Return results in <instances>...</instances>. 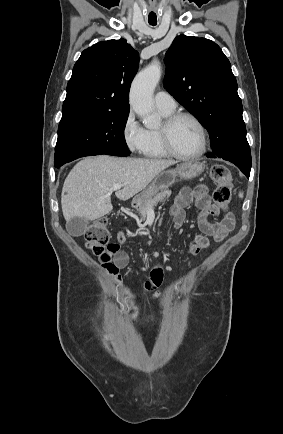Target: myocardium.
Returning <instances> with one entry per match:
<instances>
[{
    "instance_id": "obj_1",
    "label": "myocardium",
    "mask_w": 283,
    "mask_h": 434,
    "mask_svg": "<svg viewBox=\"0 0 283 434\" xmlns=\"http://www.w3.org/2000/svg\"><path fill=\"white\" fill-rule=\"evenodd\" d=\"M180 119H189L191 120L196 127L198 128L200 134V148L197 152L192 154H182L175 150L171 141V130L177 121ZM160 138L162 142V146L166 153L174 158L180 160H193L201 157L207 150V131L200 121V119L190 112L179 111L173 112L169 116H167L162 125L159 128Z\"/></svg>"
}]
</instances>
